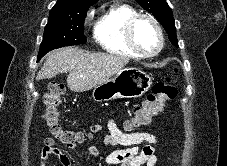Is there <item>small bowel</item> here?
<instances>
[{"label":"small bowel","mask_w":227,"mask_h":166,"mask_svg":"<svg viewBox=\"0 0 227 166\" xmlns=\"http://www.w3.org/2000/svg\"><path fill=\"white\" fill-rule=\"evenodd\" d=\"M102 130L103 127L99 124L90 127L92 133ZM107 130L104 143L114 151L105 156V166H155L157 157L154 146L158 142L155 135L146 132L124 133L113 119H109ZM72 148H76V145ZM87 150L93 157H100V152L95 146L89 145ZM52 158L58 159V166L73 165L72 160L55 147L54 140L47 137L44 139L38 160L41 166H49Z\"/></svg>","instance_id":"small-bowel-1"}]
</instances>
